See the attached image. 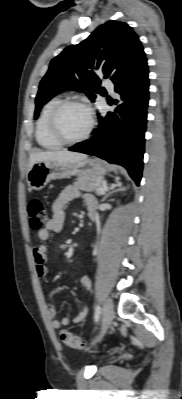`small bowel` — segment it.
Segmentation results:
<instances>
[{"mask_svg": "<svg viewBox=\"0 0 182 399\" xmlns=\"http://www.w3.org/2000/svg\"><path fill=\"white\" fill-rule=\"evenodd\" d=\"M80 196H83L89 209L97 208L96 199L89 194H83L80 190L74 186H67L63 189L54 199L52 204L51 218L46 223L45 227L37 232V238L40 241L34 248V261L36 264V270L39 277H46L48 274L47 258H48V247L46 242L49 240L51 234L62 231L65 223V213L69 203ZM82 286L89 291L91 289V280L88 275H84L80 280ZM48 315L51 318V326L54 329H60L64 326H68L73 323L82 321L87 315V308H83L73 316H66L62 319L57 318V309L54 304L47 306Z\"/></svg>", "mask_w": 182, "mask_h": 399, "instance_id": "c3829d8e", "label": "small bowel"}]
</instances>
